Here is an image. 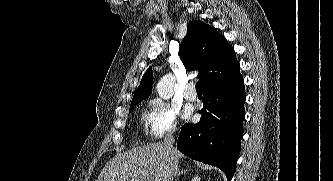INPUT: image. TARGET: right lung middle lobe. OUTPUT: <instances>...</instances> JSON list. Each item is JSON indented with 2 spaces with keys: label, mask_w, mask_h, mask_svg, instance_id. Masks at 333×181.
<instances>
[{
  "label": "right lung middle lobe",
  "mask_w": 333,
  "mask_h": 181,
  "mask_svg": "<svg viewBox=\"0 0 333 181\" xmlns=\"http://www.w3.org/2000/svg\"><path fill=\"white\" fill-rule=\"evenodd\" d=\"M135 105H133V106H130V110L129 111H131L132 110V108L134 107Z\"/></svg>",
  "instance_id": "obj_1"
}]
</instances>
